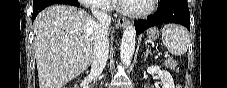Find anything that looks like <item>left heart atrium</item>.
<instances>
[{"label":"left heart atrium","instance_id":"left-heart-atrium-1","mask_svg":"<svg viewBox=\"0 0 227 88\" xmlns=\"http://www.w3.org/2000/svg\"><path fill=\"white\" fill-rule=\"evenodd\" d=\"M134 2L135 0H118V3L121 4L122 6H128Z\"/></svg>","mask_w":227,"mask_h":88}]
</instances>
